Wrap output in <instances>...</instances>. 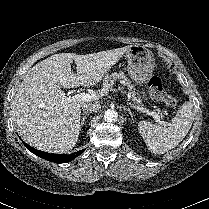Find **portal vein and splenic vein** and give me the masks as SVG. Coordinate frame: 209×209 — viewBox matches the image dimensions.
<instances>
[{
    "instance_id": "obj_1",
    "label": "portal vein and splenic vein",
    "mask_w": 209,
    "mask_h": 209,
    "mask_svg": "<svg viewBox=\"0 0 209 209\" xmlns=\"http://www.w3.org/2000/svg\"><path fill=\"white\" fill-rule=\"evenodd\" d=\"M104 96V94L102 92L100 93H94V94H89V93H80V94H77V95H74L72 97H69V100L70 101H85V102H88V101H95V100H99L100 98H102ZM133 108L141 111V112H147L149 115H151L155 120L156 122H158L159 124L161 125H167V122H164V121H161V118L160 116L155 113V112H149L148 110L142 108V107H139V106H135L133 104H130Z\"/></svg>"
}]
</instances>
